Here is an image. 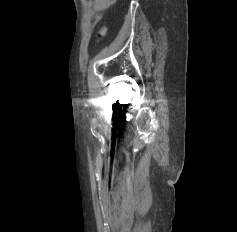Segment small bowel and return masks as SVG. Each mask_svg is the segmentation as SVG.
<instances>
[{
	"label": "small bowel",
	"mask_w": 237,
	"mask_h": 232,
	"mask_svg": "<svg viewBox=\"0 0 237 232\" xmlns=\"http://www.w3.org/2000/svg\"><path fill=\"white\" fill-rule=\"evenodd\" d=\"M116 0H95V9L103 11L115 3Z\"/></svg>",
	"instance_id": "c3829d8e"
}]
</instances>
